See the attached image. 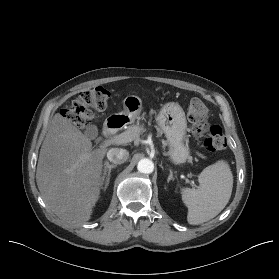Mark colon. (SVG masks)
I'll return each mask as SVG.
<instances>
[{
    "label": "colon",
    "instance_id": "1",
    "mask_svg": "<svg viewBox=\"0 0 279 279\" xmlns=\"http://www.w3.org/2000/svg\"><path fill=\"white\" fill-rule=\"evenodd\" d=\"M112 92L102 86L80 92L72 104L64 108L61 115L64 119L77 126L88 125L92 118V111H103L107 108ZM208 108L199 99H192L188 106V119L192 133L204 136V147L208 151H218L227 145V139L223 128L219 124L208 123Z\"/></svg>",
    "mask_w": 279,
    "mask_h": 279
}]
</instances>
